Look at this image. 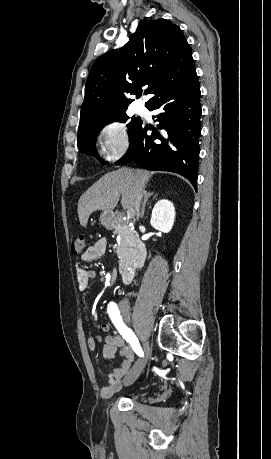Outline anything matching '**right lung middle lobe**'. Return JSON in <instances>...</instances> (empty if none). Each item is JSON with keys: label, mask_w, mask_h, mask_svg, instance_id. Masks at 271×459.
<instances>
[{"label": "right lung middle lobe", "mask_w": 271, "mask_h": 459, "mask_svg": "<svg viewBox=\"0 0 271 459\" xmlns=\"http://www.w3.org/2000/svg\"><path fill=\"white\" fill-rule=\"evenodd\" d=\"M129 119V116L125 112L88 119L80 122L78 128V148L82 153H87L92 155L96 158H99L98 154L96 153L95 142L99 132L102 128L110 122L113 121H120L126 122ZM142 124L140 118L132 117V120L127 124L131 134L134 132ZM104 162V161H102Z\"/></svg>", "instance_id": "right-lung-middle-lobe-1"}]
</instances>
